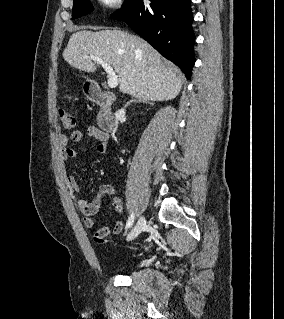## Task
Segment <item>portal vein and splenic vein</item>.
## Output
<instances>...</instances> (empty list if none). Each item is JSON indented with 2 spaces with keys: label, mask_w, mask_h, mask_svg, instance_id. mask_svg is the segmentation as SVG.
Instances as JSON below:
<instances>
[{
  "label": "portal vein and splenic vein",
  "mask_w": 284,
  "mask_h": 319,
  "mask_svg": "<svg viewBox=\"0 0 284 319\" xmlns=\"http://www.w3.org/2000/svg\"><path fill=\"white\" fill-rule=\"evenodd\" d=\"M91 58L95 63L100 64L104 68V70L107 72L108 86L110 88L117 87L119 83V79H118V76L115 74L113 68L110 66V64H108L106 61H104L103 59L99 57L92 56Z\"/></svg>",
  "instance_id": "1"
}]
</instances>
